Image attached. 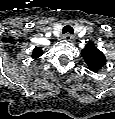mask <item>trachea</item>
<instances>
[{"label": "trachea", "mask_w": 115, "mask_h": 119, "mask_svg": "<svg viewBox=\"0 0 115 119\" xmlns=\"http://www.w3.org/2000/svg\"><path fill=\"white\" fill-rule=\"evenodd\" d=\"M73 34V28L70 25H66L63 28V34Z\"/></svg>", "instance_id": "trachea-1"}]
</instances>
